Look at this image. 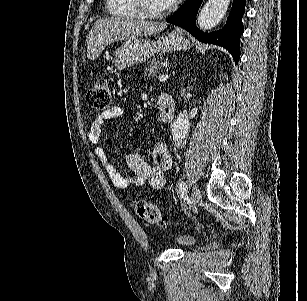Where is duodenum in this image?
I'll return each mask as SVG.
<instances>
[{"instance_id":"duodenum-1","label":"duodenum","mask_w":307,"mask_h":301,"mask_svg":"<svg viewBox=\"0 0 307 301\" xmlns=\"http://www.w3.org/2000/svg\"><path fill=\"white\" fill-rule=\"evenodd\" d=\"M160 120L162 122H171L175 115V102L174 99L168 95L163 94L159 99Z\"/></svg>"}]
</instances>
